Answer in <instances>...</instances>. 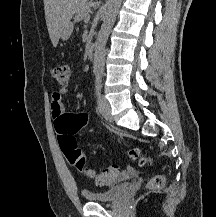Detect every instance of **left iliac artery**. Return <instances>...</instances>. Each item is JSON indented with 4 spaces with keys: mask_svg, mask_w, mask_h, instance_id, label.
<instances>
[{
    "mask_svg": "<svg viewBox=\"0 0 216 217\" xmlns=\"http://www.w3.org/2000/svg\"><path fill=\"white\" fill-rule=\"evenodd\" d=\"M101 88H102V77L100 75H97L95 81L96 95H100Z\"/></svg>",
    "mask_w": 216,
    "mask_h": 217,
    "instance_id": "1",
    "label": "left iliac artery"
}]
</instances>
